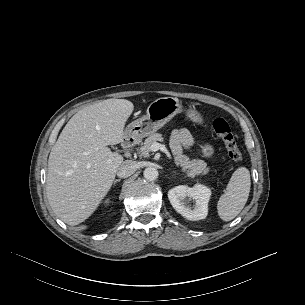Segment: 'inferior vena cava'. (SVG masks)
Returning a JSON list of instances; mask_svg holds the SVG:
<instances>
[{
    "label": "inferior vena cava",
    "instance_id": "obj_1",
    "mask_svg": "<svg viewBox=\"0 0 305 305\" xmlns=\"http://www.w3.org/2000/svg\"><path fill=\"white\" fill-rule=\"evenodd\" d=\"M137 168L138 166L135 161L126 160L117 169V176L119 178H127L131 176L137 170Z\"/></svg>",
    "mask_w": 305,
    "mask_h": 305
}]
</instances>
